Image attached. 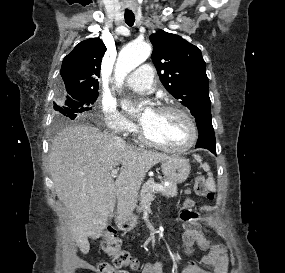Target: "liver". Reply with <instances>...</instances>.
I'll list each match as a JSON object with an SVG mask.
<instances>
[{
    "label": "liver",
    "mask_w": 285,
    "mask_h": 273,
    "mask_svg": "<svg viewBox=\"0 0 285 273\" xmlns=\"http://www.w3.org/2000/svg\"><path fill=\"white\" fill-rule=\"evenodd\" d=\"M168 158L117 141L91 126H67L54 137L50 172L58 199L74 217L71 231L82 253L90 250L88 237L96 239L106 228L116 198L119 218L132 216L146 173ZM119 166L114 181L111 171Z\"/></svg>",
    "instance_id": "1"
}]
</instances>
